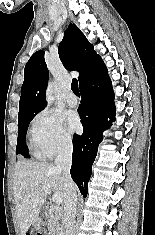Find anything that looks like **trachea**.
Returning a JSON list of instances; mask_svg holds the SVG:
<instances>
[{
    "label": "trachea",
    "instance_id": "1",
    "mask_svg": "<svg viewBox=\"0 0 155 235\" xmlns=\"http://www.w3.org/2000/svg\"><path fill=\"white\" fill-rule=\"evenodd\" d=\"M71 89L73 91V93L77 96H79V89H78V81L76 79H73L72 80V83H71Z\"/></svg>",
    "mask_w": 155,
    "mask_h": 235
}]
</instances>
